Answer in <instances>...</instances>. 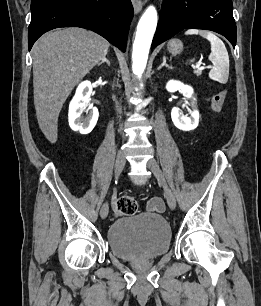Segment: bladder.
I'll list each match as a JSON object with an SVG mask.
<instances>
[{"label":"bladder","mask_w":261,"mask_h":306,"mask_svg":"<svg viewBox=\"0 0 261 306\" xmlns=\"http://www.w3.org/2000/svg\"><path fill=\"white\" fill-rule=\"evenodd\" d=\"M172 232L166 219L156 213H140L115 220L108 228L111 252L120 259L135 261L165 254Z\"/></svg>","instance_id":"31cf9c89"}]
</instances>
